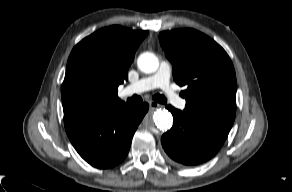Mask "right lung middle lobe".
I'll list each match as a JSON object with an SVG mask.
<instances>
[{
  "mask_svg": "<svg viewBox=\"0 0 292 192\" xmlns=\"http://www.w3.org/2000/svg\"><path fill=\"white\" fill-rule=\"evenodd\" d=\"M91 88L84 81H77L73 88L72 93L78 100H85L91 95Z\"/></svg>",
  "mask_w": 292,
  "mask_h": 192,
  "instance_id": "obj_1",
  "label": "right lung middle lobe"
}]
</instances>
